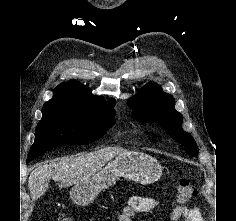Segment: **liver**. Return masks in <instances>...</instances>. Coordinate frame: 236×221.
Returning <instances> with one entry per match:
<instances>
[{
	"label": "liver",
	"mask_w": 236,
	"mask_h": 221,
	"mask_svg": "<svg viewBox=\"0 0 236 221\" xmlns=\"http://www.w3.org/2000/svg\"><path fill=\"white\" fill-rule=\"evenodd\" d=\"M125 152L122 148L106 147L38 164L28 178L32 199L37 200L45 194L51 179L60 182L61 188L76 185L91 178L108 161Z\"/></svg>",
	"instance_id": "6515ba94"
}]
</instances>
